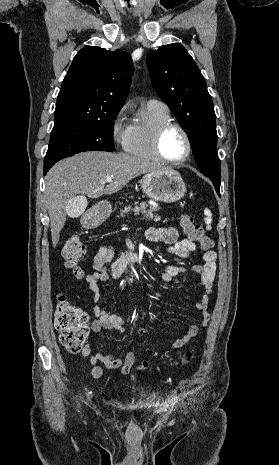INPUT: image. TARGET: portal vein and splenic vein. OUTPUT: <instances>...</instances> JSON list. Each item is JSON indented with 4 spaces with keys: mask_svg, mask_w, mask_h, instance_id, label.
<instances>
[{
    "mask_svg": "<svg viewBox=\"0 0 279 465\" xmlns=\"http://www.w3.org/2000/svg\"><path fill=\"white\" fill-rule=\"evenodd\" d=\"M111 180H112V177H108V178L106 179V182H110Z\"/></svg>",
    "mask_w": 279,
    "mask_h": 465,
    "instance_id": "portal-vein-and-splenic-vein-1",
    "label": "portal vein and splenic vein"
}]
</instances>
